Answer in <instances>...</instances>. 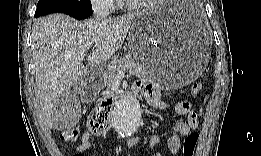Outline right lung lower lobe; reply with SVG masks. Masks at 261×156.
Returning <instances> with one entry per match:
<instances>
[{"mask_svg": "<svg viewBox=\"0 0 261 156\" xmlns=\"http://www.w3.org/2000/svg\"><path fill=\"white\" fill-rule=\"evenodd\" d=\"M92 14V10H85V9H78L71 12L69 15L78 18V19H85Z\"/></svg>", "mask_w": 261, "mask_h": 156, "instance_id": "98d812e1", "label": "right lung lower lobe"}]
</instances>
